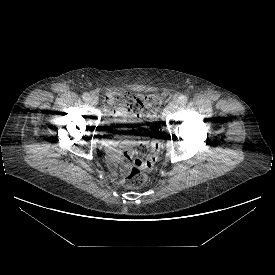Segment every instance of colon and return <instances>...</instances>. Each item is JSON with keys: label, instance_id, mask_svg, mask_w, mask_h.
<instances>
[{"label": "colon", "instance_id": "colon-1", "mask_svg": "<svg viewBox=\"0 0 275 275\" xmlns=\"http://www.w3.org/2000/svg\"><path fill=\"white\" fill-rule=\"evenodd\" d=\"M133 108L140 113L142 117L150 122V130L157 131L158 123L157 112L161 105V99L157 95H148L137 98L132 103ZM160 145L158 142H153L151 145L147 141L140 142L133 151L135 156L147 154L145 159L137 158L135 166L129 170L125 177V184L130 188H140L147 180L146 172L151 170L159 154Z\"/></svg>", "mask_w": 275, "mask_h": 275}]
</instances>
